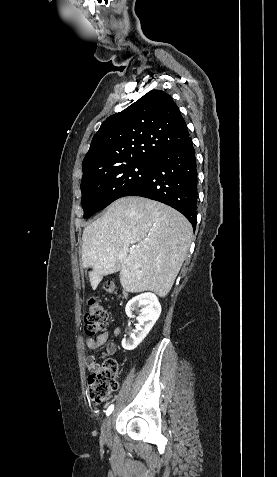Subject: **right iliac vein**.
Returning <instances> with one entry per match:
<instances>
[{"mask_svg":"<svg viewBox=\"0 0 277 477\" xmlns=\"http://www.w3.org/2000/svg\"><path fill=\"white\" fill-rule=\"evenodd\" d=\"M111 421H112V416L107 417L101 428V436L104 441H110L111 439Z\"/></svg>","mask_w":277,"mask_h":477,"instance_id":"63e3f726","label":"right iliac vein"}]
</instances>
